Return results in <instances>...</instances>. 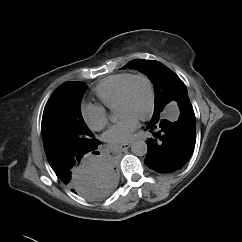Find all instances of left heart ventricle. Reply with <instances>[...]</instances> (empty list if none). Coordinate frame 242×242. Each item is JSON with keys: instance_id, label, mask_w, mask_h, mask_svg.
Instances as JSON below:
<instances>
[{"instance_id": "obj_1", "label": "left heart ventricle", "mask_w": 242, "mask_h": 242, "mask_svg": "<svg viewBox=\"0 0 242 242\" xmlns=\"http://www.w3.org/2000/svg\"><path fill=\"white\" fill-rule=\"evenodd\" d=\"M148 104V86L142 79H137L132 83L130 87L127 101L117 106L116 112L118 117H122L125 114H131L138 118L146 111Z\"/></svg>"}]
</instances>
